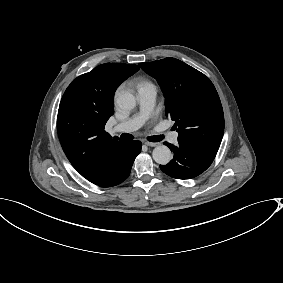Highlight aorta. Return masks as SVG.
Wrapping results in <instances>:
<instances>
[{"mask_svg": "<svg viewBox=\"0 0 283 283\" xmlns=\"http://www.w3.org/2000/svg\"><path fill=\"white\" fill-rule=\"evenodd\" d=\"M117 104L121 109L131 110L136 106L135 96L129 92L123 91L117 97ZM152 157L156 163L166 165L171 161L172 153L167 146L160 145L154 148Z\"/></svg>", "mask_w": 283, "mask_h": 283, "instance_id": "762f6f07", "label": "aorta"}]
</instances>
